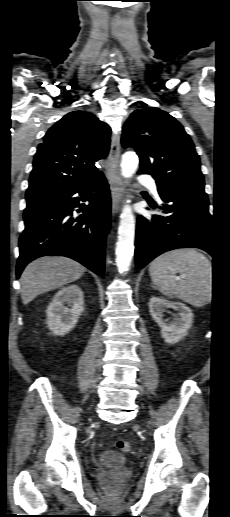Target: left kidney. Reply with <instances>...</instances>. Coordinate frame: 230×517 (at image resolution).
Listing matches in <instances>:
<instances>
[{
  "label": "left kidney",
  "mask_w": 230,
  "mask_h": 517,
  "mask_svg": "<svg viewBox=\"0 0 230 517\" xmlns=\"http://www.w3.org/2000/svg\"><path fill=\"white\" fill-rule=\"evenodd\" d=\"M174 309L177 314L171 322L163 316L168 309ZM149 311L153 320L160 326L162 338L170 344L177 343L186 336L193 323L192 310L180 302L168 301L159 297H152L149 301Z\"/></svg>",
  "instance_id": "5707ae66"
}]
</instances>
